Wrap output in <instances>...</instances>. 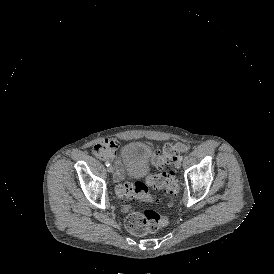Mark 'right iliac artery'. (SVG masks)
<instances>
[{
	"label": "right iliac artery",
	"mask_w": 274,
	"mask_h": 274,
	"mask_svg": "<svg viewBox=\"0 0 274 274\" xmlns=\"http://www.w3.org/2000/svg\"><path fill=\"white\" fill-rule=\"evenodd\" d=\"M105 165L108 167V166H110V163H109V162H106Z\"/></svg>",
	"instance_id": "1"
}]
</instances>
